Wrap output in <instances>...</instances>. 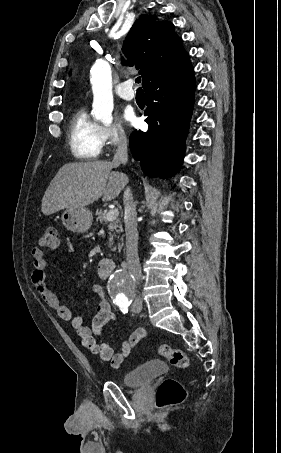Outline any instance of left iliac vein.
<instances>
[{"instance_id": "obj_1", "label": "left iliac vein", "mask_w": 281, "mask_h": 453, "mask_svg": "<svg viewBox=\"0 0 281 453\" xmlns=\"http://www.w3.org/2000/svg\"><path fill=\"white\" fill-rule=\"evenodd\" d=\"M143 308H144V307H143L142 302H137L136 305H133V306H132V309H133L132 312H133V313H140V312L143 310Z\"/></svg>"}]
</instances>
